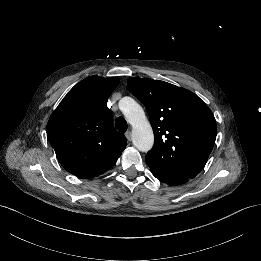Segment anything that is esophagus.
<instances>
[{"label": "esophagus", "mask_w": 261, "mask_h": 261, "mask_svg": "<svg viewBox=\"0 0 261 261\" xmlns=\"http://www.w3.org/2000/svg\"><path fill=\"white\" fill-rule=\"evenodd\" d=\"M125 136H126V138H127L129 141H131V132H130V131H127V132L125 133Z\"/></svg>", "instance_id": "34e87169"}]
</instances>
